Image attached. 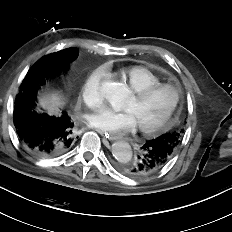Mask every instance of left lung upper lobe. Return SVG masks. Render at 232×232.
<instances>
[{"label":"left lung upper lobe","mask_w":232,"mask_h":232,"mask_svg":"<svg viewBox=\"0 0 232 232\" xmlns=\"http://www.w3.org/2000/svg\"><path fill=\"white\" fill-rule=\"evenodd\" d=\"M182 132V130H172L157 137L155 140L170 148L172 153L174 154L181 143Z\"/></svg>","instance_id":"left-lung-upper-lobe-1"}]
</instances>
